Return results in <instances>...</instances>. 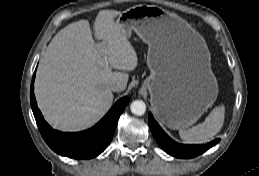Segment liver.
<instances>
[{
  "label": "liver",
  "mask_w": 259,
  "mask_h": 176,
  "mask_svg": "<svg viewBox=\"0 0 259 176\" xmlns=\"http://www.w3.org/2000/svg\"><path fill=\"white\" fill-rule=\"evenodd\" d=\"M122 12L101 10L88 20L60 30L42 54L35 80V97L45 120L61 131L86 129L110 109V85L124 89L128 72L138 64L137 54L124 30L114 19ZM114 69V70H112ZM123 89V90H124Z\"/></svg>",
  "instance_id": "liver-1"
}]
</instances>
